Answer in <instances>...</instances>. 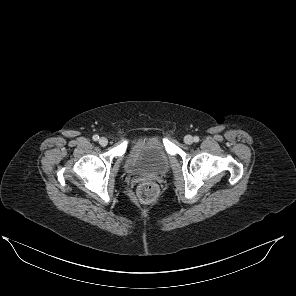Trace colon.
<instances>
[{
	"label": "colon",
	"mask_w": 296,
	"mask_h": 296,
	"mask_svg": "<svg viewBox=\"0 0 296 296\" xmlns=\"http://www.w3.org/2000/svg\"><path fill=\"white\" fill-rule=\"evenodd\" d=\"M159 194V189L154 182H143L137 188V198L141 203L153 202Z\"/></svg>",
	"instance_id": "1"
}]
</instances>
